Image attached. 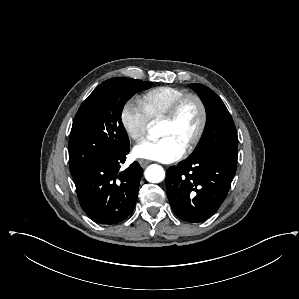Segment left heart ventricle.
<instances>
[{
	"label": "left heart ventricle",
	"mask_w": 299,
	"mask_h": 299,
	"mask_svg": "<svg viewBox=\"0 0 299 299\" xmlns=\"http://www.w3.org/2000/svg\"><path fill=\"white\" fill-rule=\"evenodd\" d=\"M200 123V109L194 100H189L182 108L178 119L173 123L162 122L160 137H170L183 148L196 134Z\"/></svg>",
	"instance_id": "obj_1"
}]
</instances>
